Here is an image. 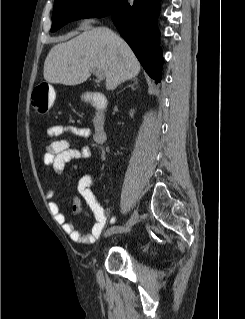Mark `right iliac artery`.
Instances as JSON below:
<instances>
[{
  "instance_id": "right-iliac-artery-1",
  "label": "right iliac artery",
  "mask_w": 245,
  "mask_h": 319,
  "mask_svg": "<svg viewBox=\"0 0 245 319\" xmlns=\"http://www.w3.org/2000/svg\"><path fill=\"white\" fill-rule=\"evenodd\" d=\"M123 228H124L123 226H113L107 232L109 235H112L114 233L121 231Z\"/></svg>"
}]
</instances>
